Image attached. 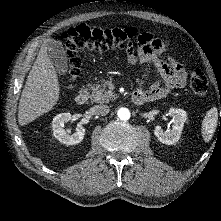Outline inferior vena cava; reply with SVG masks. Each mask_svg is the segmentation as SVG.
<instances>
[{"label":"inferior vena cava","mask_w":221,"mask_h":221,"mask_svg":"<svg viewBox=\"0 0 221 221\" xmlns=\"http://www.w3.org/2000/svg\"><path fill=\"white\" fill-rule=\"evenodd\" d=\"M94 111L98 115L105 116L109 113V106L104 104L96 105Z\"/></svg>","instance_id":"602c4592"}]
</instances>
